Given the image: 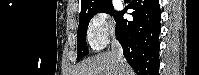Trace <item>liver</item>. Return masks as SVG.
<instances>
[{
    "instance_id": "liver-1",
    "label": "liver",
    "mask_w": 199,
    "mask_h": 75,
    "mask_svg": "<svg viewBox=\"0 0 199 75\" xmlns=\"http://www.w3.org/2000/svg\"><path fill=\"white\" fill-rule=\"evenodd\" d=\"M76 75H135L127 62L118 61L113 51L88 58L79 64Z\"/></svg>"
}]
</instances>
